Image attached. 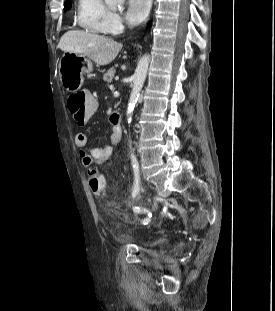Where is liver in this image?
<instances>
[{"instance_id":"liver-1","label":"liver","mask_w":275,"mask_h":311,"mask_svg":"<svg viewBox=\"0 0 275 311\" xmlns=\"http://www.w3.org/2000/svg\"><path fill=\"white\" fill-rule=\"evenodd\" d=\"M122 46L113 39L88 31H68L61 37L58 44L62 51L82 54L98 65L111 63Z\"/></svg>"}]
</instances>
